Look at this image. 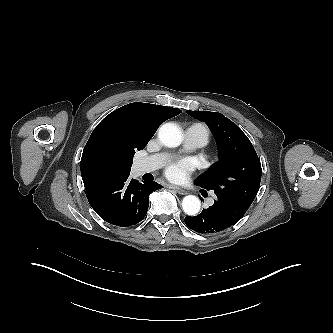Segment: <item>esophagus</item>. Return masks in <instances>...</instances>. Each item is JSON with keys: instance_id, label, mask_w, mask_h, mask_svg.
I'll list each match as a JSON object with an SVG mask.
<instances>
[{"instance_id": "obj_1", "label": "esophagus", "mask_w": 333, "mask_h": 333, "mask_svg": "<svg viewBox=\"0 0 333 333\" xmlns=\"http://www.w3.org/2000/svg\"><path fill=\"white\" fill-rule=\"evenodd\" d=\"M168 187H169L170 189L175 190L177 193H179V194H181V195H185V194H187V191H186V190H184V189H182V188H179V187H177V186L169 185Z\"/></svg>"}]
</instances>
